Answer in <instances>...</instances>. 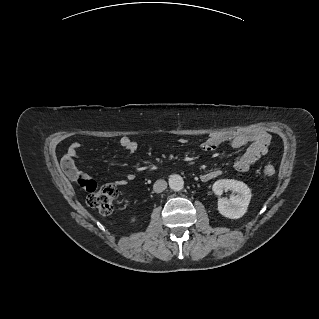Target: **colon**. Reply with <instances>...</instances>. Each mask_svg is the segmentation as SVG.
<instances>
[{
	"instance_id": "5ec220e1",
	"label": "colon",
	"mask_w": 319,
	"mask_h": 319,
	"mask_svg": "<svg viewBox=\"0 0 319 319\" xmlns=\"http://www.w3.org/2000/svg\"><path fill=\"white\" fill-rule=\"evenodd\" d=\"M263 173L267 177L275 174L273 165H266ZM80 186L88 192L87 204L101 215H108L113 210V204L118 196L115 186L107 184L98 187L96 182L88 178L78 179Z\"/></svg>"
}]
</instances>
